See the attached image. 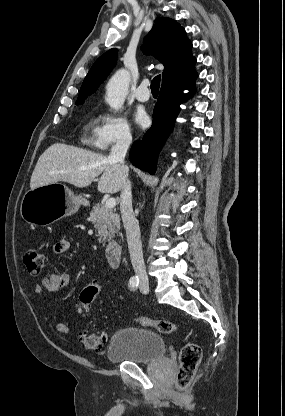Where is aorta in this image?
<instances>
[{
	"label": "aorta",
	"instance_id": "762f6f07",
	"mask_svg": "<svg viewBox=\"0 0 285 416\" xmlns=\"http://www.w3.org/2000/svg\"><path fill=\"white\" fill-rule=\"evenodd\" d=\"M130 83V74L125 69L118 70L107 84L106 101L111 108L119 110L126 99Z\"/></svg>",
	"mask_w": 285,
	"mask_h": 416
}]
</instances>
